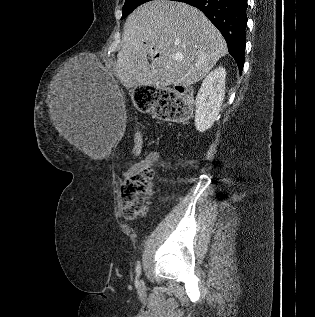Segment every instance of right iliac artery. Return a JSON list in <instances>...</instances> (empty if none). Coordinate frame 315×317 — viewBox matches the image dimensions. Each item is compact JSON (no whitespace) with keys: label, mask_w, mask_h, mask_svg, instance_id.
Returning a JSON list of instances; mask_svg holds the SVG:
<instances>
[{"label":"right iliac artery","mask_w":315,"mask_h":317,"mask_svg":"<svg viewBox=\"0 0 315 317\" xmlns=\"http://www.w3.org/2000/svg\"><path fill=\"white\" fill-rule=\"evenodd\" d=\"M135 272H136V277L139 278V277H140V274H141V265H140V262L137 264Z\"/></svg>","instance_id":"82829eb1"}]
</instances>
